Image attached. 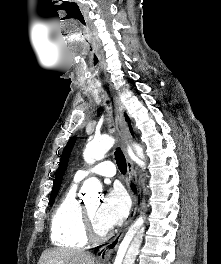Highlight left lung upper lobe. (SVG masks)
Wrapping results in <instances>:
<instances>
[{
    "label": "left lung upper lobe",
    "mask_w": 221,
    "mask_h": 264,
    "mask_svg": "<svg viewBox=\"0 0 221 264\" xmlns=\"http://www.w3.org/2000/svg\"><path fill=\"white\" fill-rule=\"evenodd\" d=\"M76 141V137H72L66 147L63 150V153L61 155V159H60V164H59V168L56 171V175H55V180H54V184H53V189L51 192V196H50V205L52 206V204L54 203V200L58 194V191L60 189V185L63 179V175L66 171L67 165H68V160H69V156L70 153L72 151V148L75 144Z\"/></svg>",
    "instance_id": "obj_1"
}]
</instances>
